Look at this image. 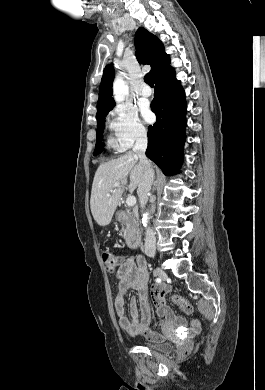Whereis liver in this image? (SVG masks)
Here are the masks:
<instances>
[{
  "label": "liver",
  "instance_id": "1",
  "mask_svg": "<svg viewBox=\"0 0 265 390\" xmlns=\"http://www.w3.org/2000/svg\"><path fill=\"white\" fill-rule=\"evenodd\" d=\"M143 172L139 157L132 151L97 168L92 184L90 208L98 225L106 226L111 222L119 200L127 189L128 176L130 179L128 189L132 193L139 186ZM115 183H120V186L110 192Z\"/></svg>",
  "mask_w": 265,
  "mask_h": 390
}]
</instances>
